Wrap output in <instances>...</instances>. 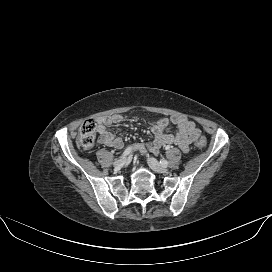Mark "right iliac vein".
Wrapping results in <instances>:
<instances>
[{
  "label": "right iliac vein",
  "instance_id": "1",
  "mask_svg": "<svg viewBox=\"0 0 272 272\" xmlns=\"http://www.w3.org/2000/svg\"><path fill=\"white\" fill-rule=\"evenodd\" d=\"M125 157H120L119 159H117L115 162H114V167L116 169H120L124 164H125Z\"/></svg>",
  "mask_w": 272,
  "mask_h": 272
}]
</instances>
